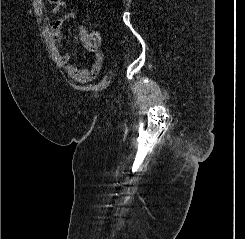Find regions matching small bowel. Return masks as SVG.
I'll return each mask as SVG.
<instances>
[{"label": "small bowel", "instance_id": "obj_1", "mask_svg": "<svg viewBox=\"0 0 245 239\" xmlns=\"http://www.w3.org/2000/svg\"><path fill=\"white\" fill-rule=\"evenodd\" d=\"M53 13L58 14L66 7L63 0H57L53 3ZM76 17V12L73 9L67 10L61 17L57 18L52 25L53 35L58 43L62 40V26L63 24ZM98 40L100 39L99 33H94ZM61 61L65 65L67 73L75 80L81 83L90 82L99 75L103 65V55L100 52H95L93 55V64L90 68L80 67L71 62V56L68 53L61 54Z\"/></svg>", "mask_w": 245, "mask_h": 239}]
</instances>
